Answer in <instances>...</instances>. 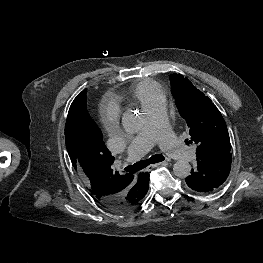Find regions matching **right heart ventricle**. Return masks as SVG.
Returning <instances> with one entry per match:
<instances>
[{
    "mask_svg": "<svg viewBox=\"0 0 263 263\" xmlns=\"http://www.w3.org/2000/svg\"><path fill=\"white\" fill-rule=\"evenodd\" d=\"M131 98L138 102L143 108L163 98L161 86L153 80H141L130 88Z\"/></svg>",
    "mask_w": 263,
    "mask_h": 263,
    "instance_id": "1",
    "label": "right heart ventricle"
}]
</instances>
